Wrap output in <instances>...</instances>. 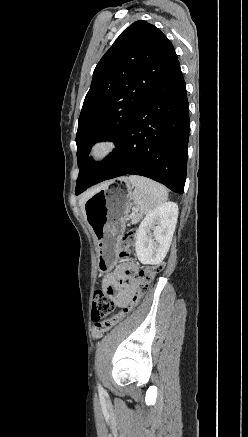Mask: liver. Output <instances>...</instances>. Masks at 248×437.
Listing matches in <instances>:
<instances>
[{
    "label": "liver",
    "mask_w": 248,
    "mask_h": 437,
    "mask_svg": "<svg viewBox=\"0 0 248 437\" xmlns=\"http://www.w3.org/2000/svg\"><path fill=\"white\" fill-rule=\"evenodd\" d=\"M95 191H97V190H93V191H91V192H88V193H86V194H84L82 197H81V199H80V201H79V205H80V207H81V210H82V212L84 213V203H85V201L95 192Z\"/></svg>",
    "instance_id": "liver-1"
}]
</instances>
